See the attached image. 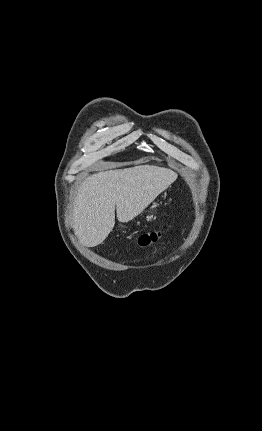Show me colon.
<instances>
[{
  "mask_svg": "<svg viewBox=\"0 0 262 431\" xmlns=\"http://www.w3.org/2000/svg\"><path fill=\"white\" fill-rule=\"evenodd\" d=\"M161 238V235L158 232H150L143 234L138 242L141 246L149 247L151 245H156Z\"/></svg>",
  "mask_w": 262,
  "mask_h": 431,
  "instance_id": "1",
  "label": "colon"
}]
</instances>
